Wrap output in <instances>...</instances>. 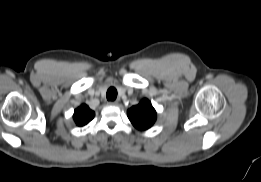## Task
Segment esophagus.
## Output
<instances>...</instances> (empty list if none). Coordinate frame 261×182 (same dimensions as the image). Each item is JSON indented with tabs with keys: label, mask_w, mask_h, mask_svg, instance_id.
Listing matches in <instances>:
<instances>
[{
	"label": "esophagus",
	"mask_w": 261,
	"mask_h": 182,
	"mask_svg": "<svg viewBox=\"0 0 261 182\" xmlns=\"http://www.w3.org/2000/svg\"><path fill=\"white\" fill-rule=\"evenodd\" d=\"M108 104H109V105L116 106V105L118 104V102H117V101H110Z\"/></svg>",
	"instance_id": "34e87169"
}]
</instances>
